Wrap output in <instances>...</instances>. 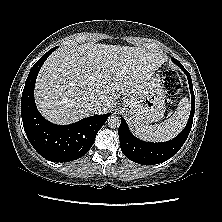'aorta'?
Wrapping results in <instances>:
<instances>
[{
	"mask_svg": "<svg viewBox=\"0 0 222 222\" xmlns=\"http://www.w3.org/2000/svg\"><path fill=\"white\" fill-rule=\"evenodd\" d=\"M108 126L110 128H118L121 124V119L119 116H116V115H111L108 120Z\"/></svg>",
	"mask_w": 222,
	"mask_h": 222,
	"instance_id": "aorta-1",
	"label": "aorta"
}]
</instances>
